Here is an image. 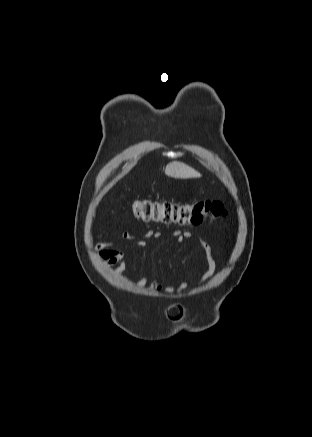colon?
Returning a JSON list of instances; mask_svg holds the SVG:
<instances>
[{
  "label": "colon",
  "mask_w": 312,
  "mask_h": 437,
  "mask_svg": "<svg viewBox=\"0 0 312 437\" xmlns=\"http://www.w3.org/2000/svg\"><path fill=\"white\" fill-rule=\"evenodd\" d=\"M134 217L144 222L199 225L226 215L224 206L217 201L199 200L177 203L170 200L138 199L131 206Z\"/></svg>",
  "instance_id": "1"
}]
</instances>
